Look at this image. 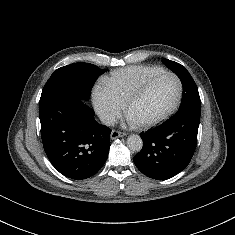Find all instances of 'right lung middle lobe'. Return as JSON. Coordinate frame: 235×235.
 I'll list each match as a JSON object with an SVG mask.
<instances>
[{
	"label": "right lung middle lobe",
	"mask_w": 235,
	"mask_h": 235,
	"mask_svg": "<svg viewBox=\"0 0 235 235\" xmlns=\"http://www.w3.org/2000/svg\"><path fill=\"white\" fill-rule=\"evenodd\" d=\"M105 71L90 63H74L57 69L42 90L39 106L59 97L88 100L96 79Z\"/></svg>",
	"instance_id": "dd1d6c3e"
}]
</instances>
